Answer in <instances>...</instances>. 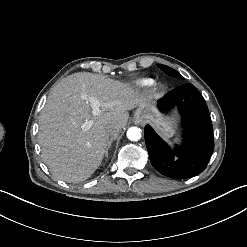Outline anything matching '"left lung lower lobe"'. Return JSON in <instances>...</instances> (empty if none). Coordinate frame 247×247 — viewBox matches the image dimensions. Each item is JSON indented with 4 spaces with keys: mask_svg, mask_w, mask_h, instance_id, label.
Listing matches in <instances>:
<instances>
[{
    "mask_svg": "<svg viewBox=\"0 0 247 247\" xmlns=\"http://www.w3.org/2000/svg\"><path fill=\"white\" fill-rule=\"evenodd\" d=\"M177 107L182 115L184 143L172 150L152 129L145 126V142L153 167L161 174L185 179L206 168L214 150L213 127L207 104L192 84L181 85L158 100V109Z\"/></svg>",
    "mask_w": 247,
    "mask_h": 247,
    "instance_id": "0a47b994",
    "label": "left lung lower lobe"
}]
</instances>
